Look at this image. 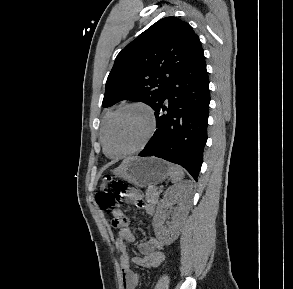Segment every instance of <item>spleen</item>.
<instances>
[{
    "mask_svg": "<svg viewBox=\"0 0 293 289\" xmlns=\"http://www.w3.org/2000/svg\"><path fill=\"white\" fill-rule=\"evenodd\" d=\"M169 166V176L173 183L180 182L184 178L183 169L180 166L174 164H168Z\"/></svg>",
    "mask_w": 293,
    "mask_h": 289,
    "instance_id": "obj_1",
    "label": "spleen"
}]
</instances>
